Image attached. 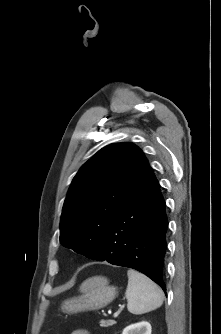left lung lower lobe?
Segmentation results:
<instances>
[{"mask_svg":"<svg viewBox=\"0 0 221 334\" xmlns=\"http://www.w3.org/2000/svg\"><path fill=\"white\" fill-rule=\"evenodd\" d=\"M166 203L151 168L110 223L96 260L139 270L166 294Z\"/></svg>","mask_w":221,"mask_h":334,"instance_id":"0a47b994","label":"left lung lower lobe"}]
</instances>
